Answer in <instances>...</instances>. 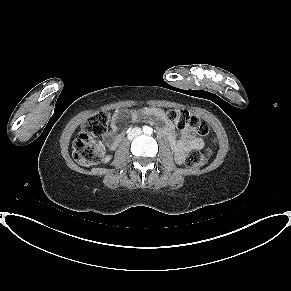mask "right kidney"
Wrapping results in <instances>:
<instances>
[{
    "label": "right kidney",
    "instance_id": "ca27d5eb",
    "mask_svg": "<svg viewBox=\"0 0 291 291\" xmlns=\"http://www.w3.org/2000/svg\"><path fill=\"white\" fill-rule=\"evenodd\" d=\"M108 160H109V158H106V159H105V161H108Z\"/></svg>",
    "mask_w": 291,
    "mask_h": 291
}]
</instances>
